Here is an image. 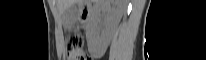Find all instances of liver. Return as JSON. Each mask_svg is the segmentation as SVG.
Segmentation results:
<instances>
[{"label":"liver","instance_id":"obj_1","mask_svg":"<svg viewBox=\"0 0 206 60\" xmlns=\"http://www.w3.org/2000/svg\"><path fill=\"white\" fill-rule=\"evenodd\" d=\"M79 0H56L57 3V8L60 13H63L69 6H71L73 3H77ZM108 2H110L108 0ZM126 0H115L114 4L115 7L113 10L110 12L109 18H111L114 28L118 25L124 10H125V5H126Z\"/></svg>","mask_w":206,"mask_h":60}]
</instances>
